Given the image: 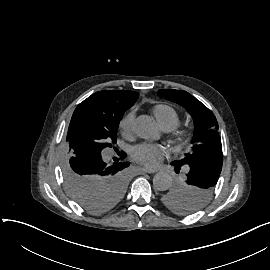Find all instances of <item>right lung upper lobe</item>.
I'll list each match as a JSON object with an SVG mask.
<instances>
[{
	"mask_svg": "<svg viewBox=\"0 0 270 270\" xmlns=\"http://www.w3.org/2000/svg\"><path fill=\"white\" fill-rule=\"evenodd\" d=\"M105 114L113 119H120L123 113L132 107L139 97V93L128 90H103L90 96Z\"/></svg>",
	"mask_w": 270,
	"mask_h": 270,
	"instance_id": "obj_1",
	"label": "right lung upper lobe"
}]
</instances>
